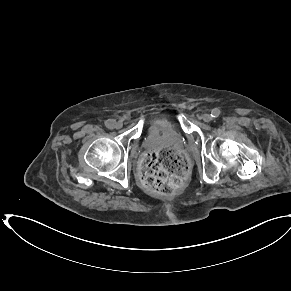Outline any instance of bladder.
I'll return each mask as SVG.
<instances>
[{
  "label": "bladder",
  "mask_w": 291,
  "mask_h": 291,
  "mask_svg": "<svg viewBox=\"0 0 291 291\" xmlns=\"http://www.w3.org/2000/svg\"><path fill=\"white\" fill-rule=\"evenodd\" d=\"M166 121L162 118H155L153 119L150 124H149V128H148V132L149 133H155L158 131V127L163 125Z\"/></svg>",
  "instance_id": "bladder-1"
}]
</instances>
